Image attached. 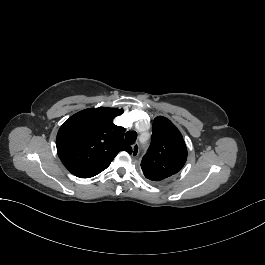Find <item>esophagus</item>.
Listing matches in <instances>:
<instances>
[{"label": "esophagus", "mask_w": 265, "mask_h": 265, "mask_svg": "<svg viewBox=\"0 0 265 265\" xmlns=\"http://www.w3.org/2000/svg\"><path fill=\"white\" fill-rule=\"evenodd\" d=\"M138 154H139V143L136 142L132 145V156L136 157L138 156Z\"/></svg>", "instance_id": "esophagus-1"}]
</instances>
